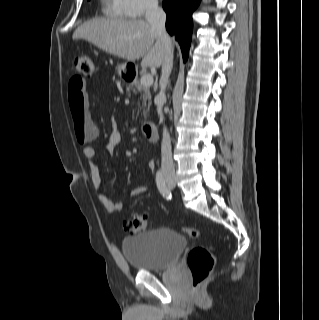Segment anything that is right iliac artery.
<instances>
[{"label": "right iliac artery", "instance_id": "obj_1", "mask_svg": "<svg viewBox=\"0 0 319 320\" xmlns=\"http://www.w3.org/2000/svg\"><path fill=\"white\" fill-rule=\"evenodd\" d=\"M157 187L164 198L167 200L172 198L171 190L167 187L161 171L156 174Z\"/></svg>", "mask_w": 319, "mask_h": 320}]
</instances>
